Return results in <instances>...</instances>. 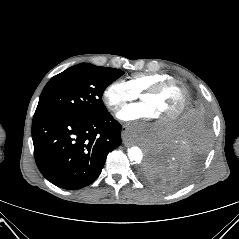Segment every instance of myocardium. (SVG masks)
<instances>
[{"label": "myocardium", "instance_id": "1", "mask_svg": "<svg viewBox=\"0 0 239 239\" xmlns=\"http://www.w3.org/2000/svg\"><path fill=\"white\" fill-rule=\"evenodd\" d=\"M169 86H176L179 88V90L181 91V94H182V100H181V104H180L179 108L172 114L165 117L162 120L163 122L172 121V120L178 118L184 112V110L187 107L188 100H189V93H188L187 88L180 81L171 78V79H167V80L158 82V83L144 89L140 93V98H142L145 95H155V94L160 93L161 91H163L164 89H166Z\"/></svg>", "mask_w": 239, "mask_h": 239}]
</instances>
